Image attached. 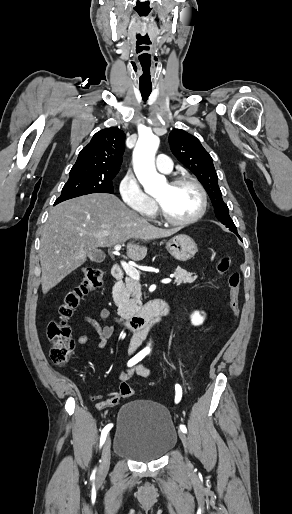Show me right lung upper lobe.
<instances>
[{
  "mask_svg": "<svg viewBox=\"0 0 292 514\" xmlns=\"http://www.w3.org/2000/svg\"><path fill=\"white\" fill-rule=\"evenodd\" d=\"M125 134L116 127L97 132L79 153L70 174L117 175L123 161Z\"/></svg>",
  "mask_w": 292,
  "mask_h": 514,
  "instance_id": "cb5924a9",
  "label": "right lung upper lobe"
}]
</instances>
